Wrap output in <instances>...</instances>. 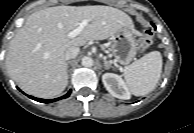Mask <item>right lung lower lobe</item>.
Listing matches in <instances>:
<instances>
[{
	"label": "right lung lower lobe",
	"instance_id": "98d812e1",
	"mask_svg": "<svg viewBox=\"0 0 194 133\" xmlns=\"http://www.w3.org/2000/svg\"><path fill=\"white\" fill-rule=\"evenodd\" d=\"M70 93H71V90L66 95H64L62 97H59V98H56V99H50V100L39 99V98H35V97L29 96V95H28V97H30L31 99L36 100L38 102H41V103H50V102H54V101H57V100L67 98L70 95Z\"/></svg>",
	"mask_w": 194,
	"mask_h": 133
}]
</instances>
